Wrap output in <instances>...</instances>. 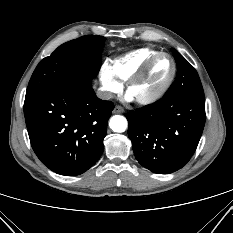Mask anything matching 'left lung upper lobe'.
<instances>
[{
  "mask_svg": "<svg viewBox=\"0 0 233 233\" xmlns=\"http://www.w3.org/2000/svg\"><path fill=\"white\" fill-rule=\"evenodd\" d=\"M177 64L175 81L163 97L202 96L204 92L194 67L176 50L172 49Z\"/></svg>",
  "mask_w": 233,
  "mask_h": 233,
  "instance_id": "left-lung-upper-lobe-1",
  "label": "left lung upper lobe"
}]
</instances>
